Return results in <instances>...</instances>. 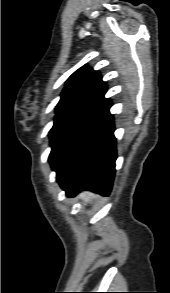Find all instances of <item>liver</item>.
I'll return each mask as SVG.
<instances>
[{"label":"liver","instance_id":"6515ba94","mask_svg":"<svg viewBox=\"0 0 170 293\" xmlns=\"http://www.w3.org/2000/svg\"><path fill=\"white\" fill-rule=\"evenodd\" d=\"M79 197H80L82 200H84L85 202H87V201H89V200L95 198V196H94L92 193H90V192H83V193L80 194Z\"/></svg>","mask_w":170,"mask_h":293}]
</instances>
